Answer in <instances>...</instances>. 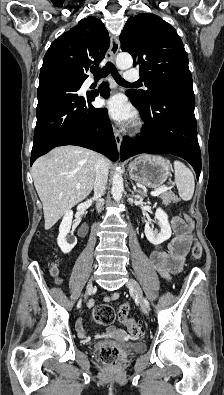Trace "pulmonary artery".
Listing matches in <instances>:
<instances>
[{
	"instance_id": "e3ab8cb5",
	"label": "pulmonary artery",
	"mask_w": 224,
	"mask_h": 395,
	"mask_svg": "<svg viewBox=\"0 0 224 395\" xmlns=\"http://www.w3.org/2000/svg\"><path fill=\"white\" fill-rule=\"evenodd\" d=\"M126 81H136L139 79V73L137 70L129 69L126 71L125 75Z\"/></svg>"
}]
</instances>
